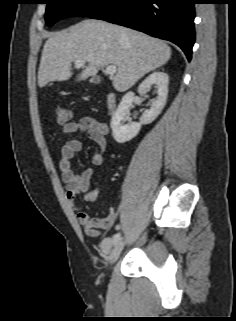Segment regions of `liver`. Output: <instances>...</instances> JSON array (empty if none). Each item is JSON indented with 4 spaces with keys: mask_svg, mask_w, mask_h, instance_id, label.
I'll use <instances>...</instances> for the list:
<instances>
[{
    "mask_svg": "<svg viewBox=\"0 0 236 321\" xmlns=\"http://www.w3.org/2000/svg\"><path fill=\"white\" fill-rule=\"evenodd\" d=\"M171 57V48L162 40L142 32L108 23L87 19L66 30L53 33L45 42L39 71L38 85L51 81L68 80L72 75L71 63L84 60L77 81L95 76L101 66L114 65L117 73L113 87L124 92L140 78L165 63Z\"/></svg>",
    "mask_w": 236,
    "mask_h": 321,
    "instance_id": "6515ba94",
    "label": "liver"
}]
</instances>
